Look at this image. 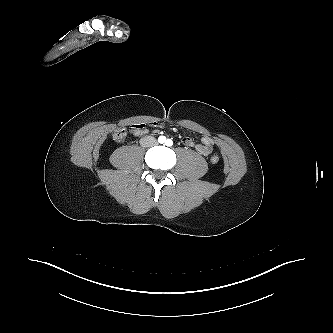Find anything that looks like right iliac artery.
Masks as SVG:
<instances>
[{"label": "right iliac artery", "mask_w": 333, "mask_h": 333, "mask_svg": "<svg viewBox=\"0 0 333 333\" xmlns=\"http://www.w3.org/2000/svg\"><path fill=\"white\" fill-rule=\"evenodd\" d=\"M159 143H164L166 141V138L164 136H160L158 138Z\"/></svg>", "instance_id": "82829eb1"}]
</instances>
